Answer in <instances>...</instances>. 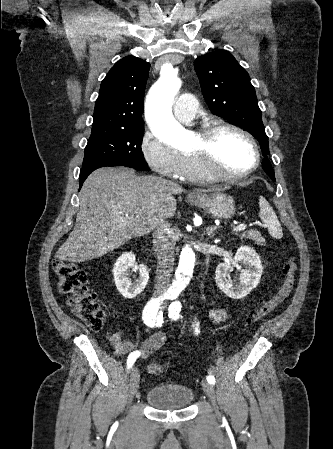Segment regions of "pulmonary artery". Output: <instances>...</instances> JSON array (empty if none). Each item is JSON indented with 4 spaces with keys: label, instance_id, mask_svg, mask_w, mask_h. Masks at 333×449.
I'll return each mask as SVG.
<instances>
[{
    "label": "pulmonary artery",
    "instance_id": "1",
    "mask_svg": "<svg viewBox=\"0 0 333 449\" xmlns=\"http://www.w3.org/2000/svg\"><path fill=\"white\" fill-rule=\"evenodd\" d=\"M176 119L183 123H190L197 114V101L192 94L180 95L173 108Z\"/></svg>",
    "mask_w": 333,
    "mask_h": 449
}]
</instances>
